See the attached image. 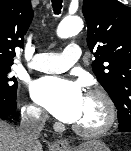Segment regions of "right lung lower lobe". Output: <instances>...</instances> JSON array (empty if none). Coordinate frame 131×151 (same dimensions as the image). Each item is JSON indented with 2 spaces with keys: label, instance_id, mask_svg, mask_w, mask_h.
<instances>
[{
  "label": "right lung lower lobe",
  "instance_id": "98d812e1",
  "mask_svg": "<svg viewBox=\"0 0 131 151\" xmlns=\"http://www.w3.org/2000/svg\"><path fill=\"white\" fill-rule=\"evenodd\" d=\"M17 108L16 98L5 99L0 97V118H6Z\"/></svg>",
  "mask_w": 131,
  "mask_h": 151
}]
</instances>
